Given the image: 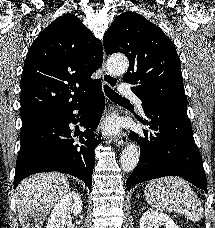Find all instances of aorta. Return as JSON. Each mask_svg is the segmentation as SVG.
I'll use <instances>...</instances> for the list:
<instances>
[{
  "instance_id": "aorta-1",
  "label": "aorta",
  "mask_w": 215,
  "mask_h": 228,
  "mask_svg": "<svg viewBox=\"0 0 215 228\" xmlns=\"http://www.w3.org/2000/svg\"><path fill=\"white\" fill-rule=\"evenodd\" d=\"M109 70H113L115 74H125L129 68V62L126 56H115V58H110L108 64ZM140 158V150L136 144H128L125 150L122 152L120 158V166L124 172H132L136 168Z\"/></svg>"
}]
</instances>
